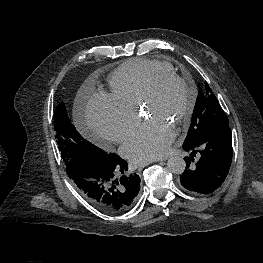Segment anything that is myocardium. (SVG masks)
Instances as JSON below:
<instances>
[{
    "mask_svg": "<svg viewBox=\"0 0 263 263\" xmlns=\"http://www.w3.org/2000/svg\"><path fill=\"white\" fill-rule=\"evenodd\" d=\"M168 82L179 83L188 94L186 108L175 121V126L179 127L187 123L191 118L196 107L198 92L188 79L177 73H161L157 75L145 90L139 106L144 107L148 102L153 100L159 94L162 87Z\"/></svg>",
    "mask_w": 263,
    "mask_h": 263,
    "instance_id": "f54148a6",
    "label": "myocardium"
}]
</instances>
